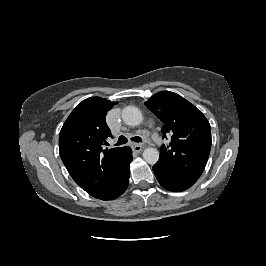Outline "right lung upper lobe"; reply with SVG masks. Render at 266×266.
<instances>
[{
    "mask_svg": "<svg viewBox=\"0 0 266 266\" xmlns=\"http://www.w3.org/2000/svg\"><path fill=\"white\" fill-rule=\"evenodd\" d=\"M114 104L100 97L85 99L68 116L59 134V153L69 174L95 198L110 189L129 148L104 149L112 137L105 118Z\"/></svg>",
    "mask_w": 266,
    "mask_h": 266,
    "instance_id": "cb5924a9",
    "label": "right lung upper lobe"
}]
</instances>
